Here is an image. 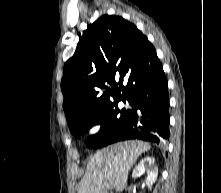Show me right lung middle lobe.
I'll return each mask as SVG.
<instances>
[{"label": "right lung middle lobe", "instance_id": "obj_1", "mask_svg": "<svg viewBox=\"0 0 221 193\" xmlns=\"http://www.w3.org/2000/svg\"><path fill=\"white\" fill-rule=\"evenodd\" d=\"M131 102L130 98L118 99L111 102L107 107L78 118L70 131L74 135L87 132L93 125L101 124V130L98 134L87 139L89 147L99 148L105 146L106 141L115 136L128 122L132 109L119 108V101Z\"/></svg>", "mask_w": 221, "mask_h": 193}]
</instances>
